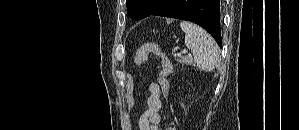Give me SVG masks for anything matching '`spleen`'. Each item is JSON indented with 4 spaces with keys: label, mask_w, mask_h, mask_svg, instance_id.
I'll list each match as a JSON object with an SVG mask.
<instances>
[{
    "label": "spleen",
    "mask_w": 299,
    "mask_h": 130,
    "mask_svg": "<svg viewBox=\"0 0 299 130\" xmlns=\"http://www.w3.org/2000/svg\"><path fill=\"white\" fill-rule=\"evenodd\" d=\"M180 27L185 32V44L192 50L196 67L204 72L213 71L219 60L215 40L203 28L191 22L182 21Z\"/></svg>",
    "instance_id": "obj_1"
}]
</instances>
